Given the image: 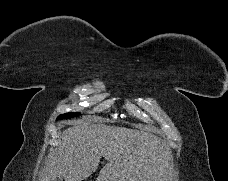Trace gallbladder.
Listing matches in <instances>:
<instances>
[{"mask_svg":"<svg viewBox=\"0 0 228 181\" xmlns=\"http://www.w3.org/2000/svg\"><path fill=\"white\" fill-rule=\"evenodd\" d=\"M55 181H63V177H61V175H59V177H56Z\"/></svg>","mask_w":228,"mask_h":181,"instance_id":"obj_1","label":"gallbladder"}]
</instances>
